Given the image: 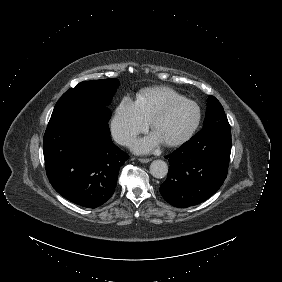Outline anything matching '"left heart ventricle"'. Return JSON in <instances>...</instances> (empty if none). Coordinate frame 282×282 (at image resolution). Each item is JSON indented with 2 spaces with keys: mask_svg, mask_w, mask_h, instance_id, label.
Here are the masks:
<instances>
[{
  "mask_svg": "<svg viewBox=\"0 0 282 282\" xmlns=\"http://www.w3.org/2000/svg\"><path fill=\"white\" fill-rule=\"evenodd\" d=\"M166 105L167 103L161 109ZM194 117L195 108L193 105L187 104L175 108L158 122L155 132L161 140H173L185 132Z\"/></svg>",
  "mask_w": 282,
  "mask_h": 282,
  "instance_id": "obj_1",
  "label": "left heart ventricle"
}]
</instances>
